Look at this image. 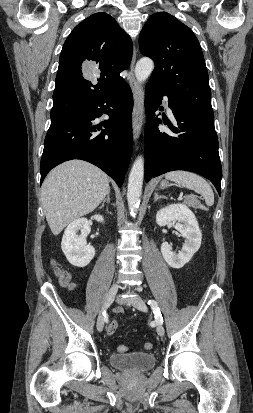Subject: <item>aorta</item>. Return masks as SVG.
I'll list each match as a JSON object with an SVG mask.
<instances>
[{"mask_svg": "<svg viewBox=\"0 0 253 413\" xmlns=\"http://www.w3.org/2000/svg\"><path fill=\"white\" fill-rule=\"evenodd\" d=\"M154 62L148 57L141 58L135 66V77L139 83H143L152 73ZM144 178V158L137 157L134 161L128 179L127 201L134 215V209L140 203Z\"/></svg>", "mask_w": 253, "mask_h": 413, "instance_id": "1", "label": "aorta"}]
</instances>
